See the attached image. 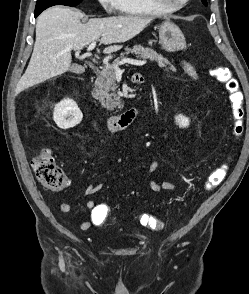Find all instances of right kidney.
Masks as SVG:
<instances>
[{
  "instance_id": "ca27d5eb",
  "label": "right kidney",
  "mask_w": 249,
  "mask_h": 294,
  "mask_svg": "<svg viewBox=\"0 0 249 294\" xmlns=\"http://www.w3.org/2000/svg\"><path fill=\"white\" fill-rule=\"evenodd\" d=\"M83 118L81 110L72 99H65L55 105L53 119L61 129H70L78 125Z\"/></svg>"
}]
</instances>
